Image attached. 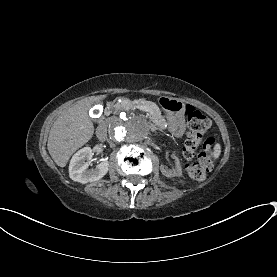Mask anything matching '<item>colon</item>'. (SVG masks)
Returning <instances> with one entry per match:
<instances>
[{"label": "colon", "instance_id": "obj_1", "mask_svg": "<svg viewBox=\"0 0 277 277\" xmlns=\"http://www.w3.org/2000/svg\"><path fill=\"white\" fill-rule=\"evenodd\" d=\"M185 120L190 128L182 148V155L188 160L186 172L192 180L201 181L209 170L216 139L213 136H205L211 122L198 109L186 107Z\"/></svg>", "mask_w": 277, "mask_h": 277}]
</instances>
